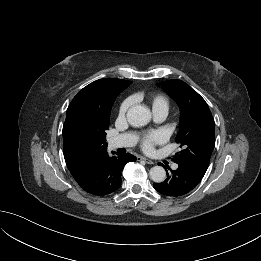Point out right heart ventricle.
<instances>
[{"label": "right heart ventricle", "instance_id": "1", "mask_svg": "<svg viewBox=\"0 0 261 261\" xmlns=\"http://www.w3.org/2000/svg\"><path fill=\"white\" fill-rule=\"evenodd\" d=\"M141 98H143L141 94H134L132 96L133 101H138ZM146 100L150 104L154 114L165 113L167 115L170 108V101L165 95L159 93L150 94L146 96Z\"/></svg>", "mask_w": 261, "mask_h": 261}]
</instances>
